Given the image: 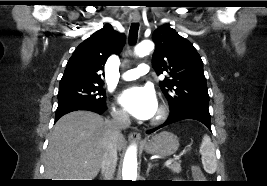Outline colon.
Listing matches in <instances>:
<instances>
[{
    "mask_svg": "<svg viewBox=\"0 0 267 186\" xmlns=\"http://www.w3.org/2000/svg\"><path fill=\"white\" fill-rule=\"evenodd\" d=\"M194 172H199V169L197 167H195Z\"/></svg>",
    "mask_w": 267,
    "mask_h": 186,
    "instance_id": "colon-1",
    "label": "colon"
}]
</instances>
